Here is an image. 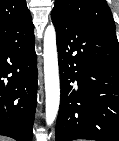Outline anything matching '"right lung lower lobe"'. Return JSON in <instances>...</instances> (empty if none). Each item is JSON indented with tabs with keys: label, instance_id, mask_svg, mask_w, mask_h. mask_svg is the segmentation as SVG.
Masks as SVG:
<instances>
[{
	"label": "right lung lower lobe",
	"instance_id": "1",
	"mask_svg": "<svg viewBox=\"0 0 119 141\" xmlns=\"http://www.w3.org/2000/svg\"><path fill=\"white\" fill-rule=\"evenodd\" d=\"M32 19L0 27V135L32 141L37 67Z\"/></svg>",
	"mask_w": 119,
	"mask_h": 141
}]
</instances>
